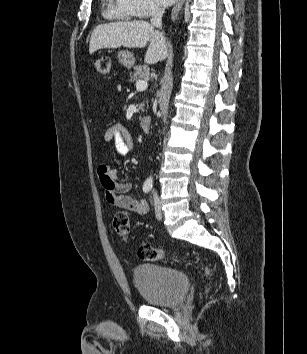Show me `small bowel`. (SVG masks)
<instances>
[{"label":"small bowel","mask_w":307,"mask_h":354,"mask_svg":"<svg viewBox=\"0 0 307 354\" xmlns=\"http://www.w3.org/2000/svg\"><path fill=\"white\" fill-rule=\"evenodd\" d=\"M104 141L113 143L119 155L126 154L134 146L130 131L120 123L113 124L106 130ZM97 173L108 203L138 214H145L148 211L145 200L136 199L130 195L131 185L118 181L119 171L117 169L101 164L97 168Z\"/></svg>","instance_id":"1"}]
</instances>
